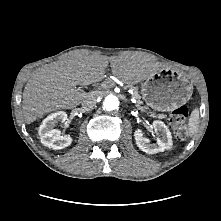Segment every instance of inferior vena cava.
Listing matches in <instances>:
<instances>
[{
    "label": "inferior vena cava",
    "instance_id": "602c4592",
    "mask_svg": "<svg viewBox=\"0 0 221 221\" xmlns=\"http://www.w3.org/2000/svg\"><path fill=\"white\" fill-rule=\"evenodd\" d=\"M96 98L95 94H88L86 98L82 101V108L84 111H90L96 105Z\"/></svg>",
    "mask_w": 221,
    "mask_h": 221
}]
</instances>
